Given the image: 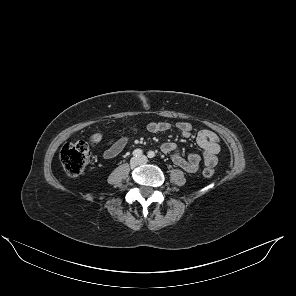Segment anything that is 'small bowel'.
I'll return each mask as SVG.
<instances>
[{
  "label": "small bowel",
  "mask_w": 296,
  "mask_h": 296,
  "mask_svg": "<svg viewBox=\"0 0 296 296\" xmlns=\"http://www.w3.org/2000/svg\"><path fill=\"white\" fill-rule=\"evenodd\" d=\"M172 125L168 122H151L147 129L151 133H162L170 130ZM175 128L184 137H189L192 134V125L187 121L176 123ZM129 137L124 135L118 138L110 139L103 151L105 159H112L119 155L128 144ZM196 142L202 150V154L192 153L187 158H184L174 142H165L161 146V150L165 154L172 157L173 162L189 173H194L199 169L200 162L203 160L206 166H215L217 163V154L220 151V141L218 136L210 130H200L196 135Z\"/></svg>",
  "instance_id": "small-bowel-1"
}]
</instances>
